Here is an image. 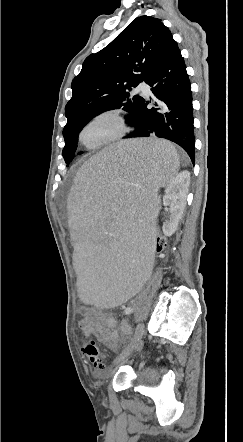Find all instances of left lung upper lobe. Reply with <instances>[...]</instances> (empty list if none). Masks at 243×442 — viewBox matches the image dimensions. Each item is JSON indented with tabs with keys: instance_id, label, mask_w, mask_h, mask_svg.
<instances>
[{
	"instance_id": "left-lung-upper-lobe-1",
	"label": "left lung upper lobe",
	"mask_w": 243,
	"mask_h": 442,
	"mask_svg": "<svg viewBox=\"0 0 243 442\" xmlns=\"http://www.w3.org/2000/svg\"><path fill=\"white\" fill-rule=\"evenodd\" d=\"M169 34L160 19L140 16L108 46L85 59L65 107L62 155L67 164L75 157L78 134L93 117L119 108L129 112L127 123L136 115L144 99L129 91L144 81Z\"/></svg>"
}]
</instances>
